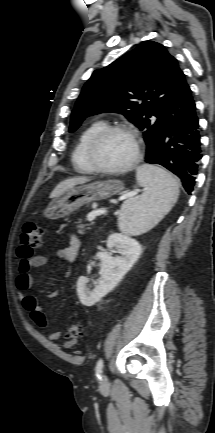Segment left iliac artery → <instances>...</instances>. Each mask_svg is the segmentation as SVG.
Segmentation results:
<instances>
[{
    "label": "left iliac artery",
    "mask_w": 215,
    "mask_h": 433,
    "mask_svg": "<svg viewBox=\"0 0 215 433\" xmlns=\"http://www.w3.org/2000/svg\"><path fill=\"white\" fill-rule=\"evenodd\" d=\"M103 369V359H99L95 368V375L98 379H101Z\"/></svg>",
    "instance_id": "obj_1"
}]
</instances>
